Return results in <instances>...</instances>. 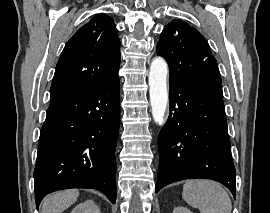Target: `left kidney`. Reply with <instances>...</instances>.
Segmentation results:
<instances>
[{
    "instance_id": "5707ae66",
    "label": "left kidney",
    "mask_w": 270,
    "mask_h": 213,
    "mask_svg": "<svg viewBox=\"0 0 270 213\" xmlns=\"http://www.w3.org/2000/svg\"><path fill=\"white\" fill-rule=\"evenodd\" d=\"M173 213H192V212L186 207H175Z\"/></svg>"
}]
</instances>
